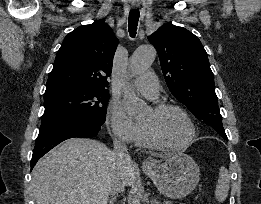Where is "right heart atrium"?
Instances as JSON below:
<instances>
[{"instance_id":"d8ad5b80","label":"right heart atrium","mask_w":261,"mask_h":204,"mask_svg":"<svg viewBox=\"0 0 261 204\" xmlns=\"http://www.w3.org/2000/svg\"><path fill=\"white\" fill-rule=\"evenodd\" d=\"M105 123L110 135L125 144L136 142L138 123L126 113L118 101H111L107 108Z\"/></svg>"}]
</instances>
